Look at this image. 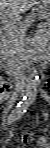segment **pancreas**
<instances>
[{
    "mask_svg": "<svg viewBox=\"0 0 50 148\" xmlns=\"http://www.w3.org/2000/svg\"><path fill=\"white\" fill-rule=\"evenodd\" d=\"M44 32L38 30L35 34L34 40L39 44L44 39ZM25 26L21 24L19 27L15 25H7L3 31V52L2 60L5 63L3 68L16 69V58L25 52Z\"/></svg>",
    "mask_w": 50,
    "mask_h": 148,
    "instance_id": "obj_1",
    "label": "pancreas"
}]
</instances>
